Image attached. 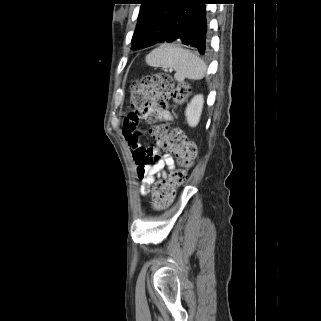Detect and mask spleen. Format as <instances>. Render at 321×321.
<instances>
[{
    "label": "spleen",
    "instance_id": "3e777b00",
    "mask_svg": "<svg viewBox=\"0 0 321 321\" xmlns=\"http://www.w3.org/2000/svg\"><path fill=\"white\" fill-rule=\"evenodd\" d=\"M145 61L151 67L175 70L177 80L202 79L207 70L201 58L179 44H161L146 56Z\"/></svg>",
    "mask_w": 321,
    "mask_h": 321
}]
</instances>
